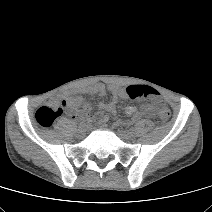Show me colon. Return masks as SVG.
Segmentation results:
<instances>
[{
	"mask_svg": "<svg viewBox=\"0 0 212 212\" xmlns=\"http://www.w3.org/2000/svg\"><path fill=\"white\" fill-rule=\"evenodd\" d=\"M127 94L131 99L142 98L151 106L159 108L162 120L168 121L170 119V110L162 106L161 95L154 88L144 85H132L127 88ZM66 107V101L49 100L37 109L35 120L41 127H50L62 115Z\"/></svg>",
	"mask_w": 212,
	"mask_h": 212,
	"instance_id": "obj_1",
	"label": "colon"
}]
</instances>
